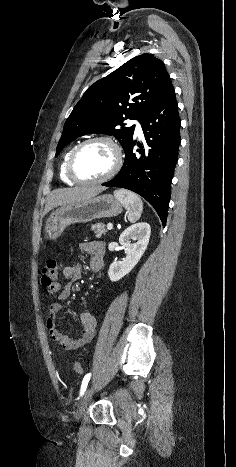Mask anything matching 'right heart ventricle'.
<instances>
[{
    "label": "right heart ventricle",
    "instance_id": "right-heart-ventricle-1",
    "mask_svg": "<svg viewBox=\"0 0 236 467\" xmlns=\"http://www.w3.org/2000/svg\"><path fill=\"white\" fill-rule=\"evenodd\" d=\"M74 148H71L70 150H68L65 155L63 156L62 158V161L60 163V178L61 180L68 184V185H73L75 184L74 181H72L68 176H67V173H66V165H67V161H68V158L72 152Z\"/></svg>",
    "mask_w": 236,
    "mask_h": 467
}]
</instances>
